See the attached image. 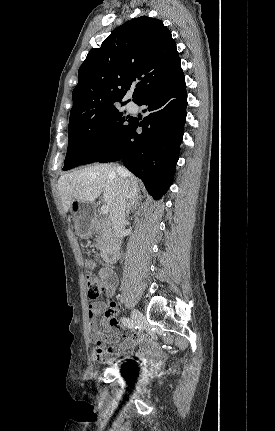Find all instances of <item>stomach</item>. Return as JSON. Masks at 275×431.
Segmentation results:
<instances>
[{
  "mask_svg": "<svg viewBox=\"0 0 275 431\" xmlns=\"http://www.w3.org/2000/svg\"><path fill=\"white\" fill-rule=\"evenodd\" d=\"M70 211L74 218L77 234L82 238L90 237L96 227L91 204L73 199L70 204Z\"/></svg>",
  "mask_w": 275,
  "mask_h": 431,
  "instance_id": "0dacf381",
  "label": "stomach"
}]
</instances>
